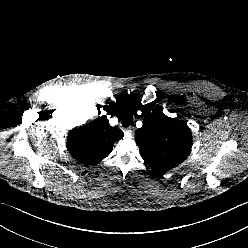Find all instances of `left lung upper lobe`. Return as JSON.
<instances>
[{"label":"left lung upper lobe","mask_w":248,"mask_h":248,"mask_svg":"<svg viewBox=\"0 0 248 248\" xmlns=\"http://www.w3.org/2000/svg\"><path fill=\"white\" fill-rule=\"evenodd\" d=\"M135 141L144 161L158 173L182 163L190 154L192 135L182 121L167 117L161 110L145 116L136 130Z\"/></svg>","instance_id":"5c2ea615"}]
</instances>
